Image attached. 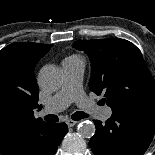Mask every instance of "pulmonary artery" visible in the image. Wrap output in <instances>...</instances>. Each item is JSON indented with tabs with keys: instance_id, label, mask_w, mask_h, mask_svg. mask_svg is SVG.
Returning a JSON list of instances; mask_svg holds the SVG:
<instances>
[{
	"instance_id": "e3ab8cb5",
	"label": "pulmonary artery",
	"mask_w": 155,
	"mask_h": 155,
	"mask_svg": "<svg viewBox=\"0 0 155 155\" xmlns=\"http://www.w3.org/2000/svg\"><path fill=\"white\" fill-rule=\"evenodd\" d=\"M63 84L46 104L43 114L56 113L75 102L80 108L88 109L96 117L107 120L112 115L109 107L97 108L85 97L82 90V79L85 61L82 58H65L62 61Z\"/></svg>"
}]
</instances>
